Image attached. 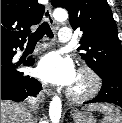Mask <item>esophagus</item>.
Listing matches in <instances>:
<instances>
[{"instance_id": "esophagus-1", "label": "esophagus", "mask_w": 122, "mask_h": 123, "mask_svg": "<svg viewBox=\"0 0 122 123\" xmlns=\"http://www.w3.org/2000/svg\"><path fill=\"white\" fill-rule=\"evenodd\" d=\"M43 18L49 24H54V20H53V17H52V9H51V6L49 4L45 8V12H44ZM43 91L48 96H51V95L54 94V91L49 86H47L45 84L43 85Z\"/></svg>"}]
</instances>
